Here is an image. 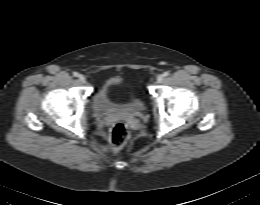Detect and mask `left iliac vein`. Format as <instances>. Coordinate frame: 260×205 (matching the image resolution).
Masks as SVG:
<instances>
[{"label":"left iliac vein","mask_w":260,"mask_h":205,"mask_svg":"<svg viewBox=\"0 0 260 205\" xmlns=\"http://www.w3.org/2000/svg\"><path fill=\"white\" fill-rule=\"evenodd\" d=\"M164 80V76L162 74L158 75L156 78L157 83H162Z\"/></svg>","instance_id":"4c4485c4"}]
</instances>
